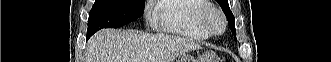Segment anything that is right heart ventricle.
<instances>
[{
    "instance_id": "right-heart-ventricle-1",
    "label": "right heart ventricle",
    "mask_w": 331,
    "mask_h": 62,
    "mask_svg": "<svg viewBox=\"0 0 331 62\" xmlns=\"http://www.w3.org/2000/svg\"><path fill=\"white\" fill-rule=\"evenodd\" d=\"M207 6L206 0H161L154 17L162 30L202 41L211 37L200 22V14Z\"/></svg>"
}]
</instances>
